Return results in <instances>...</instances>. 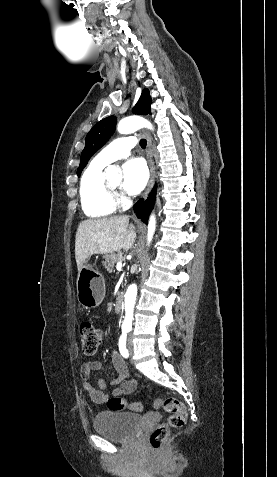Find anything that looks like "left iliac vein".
Listing matches in <instances>:
<instances>
[{"label":"left iliac vein","instance_id":"left-iliac-vein-1","mask_svg":"<svg viewBox=\"0 0 277 477\" xmlns=\"http://www.w3.org/2000/svg\"><path fill=\"white\" fill-rule=\"evenodd\" d=\"M127 346H128L130 355H132V354H133V347H132V342H131V338H130V337H129L128 340H127Z\"/></svg>","mask_w":277,"mask_h":477}]
</instances>
